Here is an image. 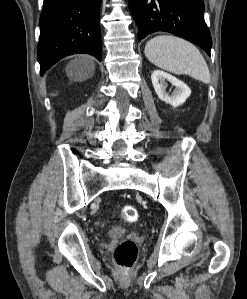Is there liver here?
<instances>
[{
	"mask_svg": "<svg viewBox=\"0 0 247 299\" xmlns=\"http://www.w3.org/2000/svg\"><path fill=\"white\" fill-rule=\"evenodd\" d=\"M95 70V64L93 58L89 56H79L67 67L68 75L74 80H82L90 77Z\"/></svg>",
	"mask_w": 247,
	"mask_h": 299,
	"instance_id": "6515ba94",
	"label": "liver"
}]
</instances>
